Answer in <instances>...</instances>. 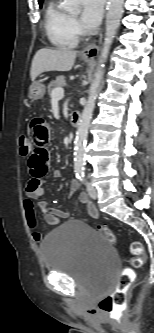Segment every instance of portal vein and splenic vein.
I'll list each match as a JSON object with an SVG mask.
<instances>
[{
    "label": "portal vein and splenic vein",
    "mask_w": 154,
    "mask_h": 333,
    "mask_svg": "<svg viewBox=\"0 0 154 333\" xmlns=\"http://www.w3.org/2000/svg\"><path fill=\"white\" fill-rule=\"evenodd\" d=\"M52 98L62 99L64 97V89L62 87H56L51 93Z\"/></svg>",
    "instance_id": "1"
}]
</instances>
